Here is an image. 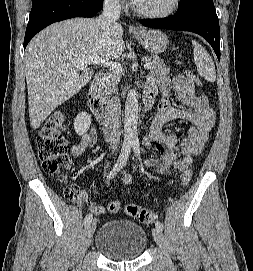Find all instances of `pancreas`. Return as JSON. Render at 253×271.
I'll use <instances>...</instances> for the list:
<instances>
[{
  "mask_svg": "<svg viewBox=\"0 0 253 271\" xmlns=\"http://www.w3.org/2000/svg\"><path fill=\"white\" fill-rule=\"evenodd\" d=\"M145 61L151 64L149 68L152 73L157 75H167L170 69L166 67L165 63L157 55H150L145 58ZM121 78L119 71L110 72L100 83V97L106 100L108 95L116 88Z\"/></svg>",
  "mask_w": 253,
  "mask_h": 271,
  "instance_id": "obj_1",
  "label": "pancreas"
}]
</instances>
